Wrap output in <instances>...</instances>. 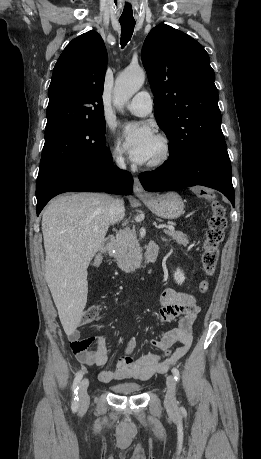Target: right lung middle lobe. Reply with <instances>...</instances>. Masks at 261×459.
Here are the masks:
<instances>
[{"label": "right lung middle lobe", "mask_w": 261, "mask_h": 459, "mask_svg": "<svg viewBox=\"0 0 261 459\" xmlns=\"http://www.w3.org/2000/svg\"><path fill=\"white\" fill-rule=\"evenodd\" d=\"M104 134V119L46 130L36 187L72 167L109 164L112 157L106 148Z\"/></svg>", "instance_id": "right-lung-middle-lobe-1"}]
</instances>
